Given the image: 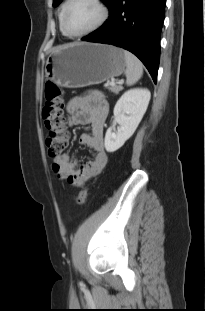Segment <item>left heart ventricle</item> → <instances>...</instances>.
I'll return each instance as SVG.
<instances>
[{
	"instance_id": "b2bd125f",
	"label": "left heart ventricle",
	"mask_w": 205,
	"mask_h": 311,
	"mask_svg": "<svg viewBox=\"0 0 205 311\" xmlns=\"http://www.w3.org/2000/svg\"><path fill=\"white\" fill-rule=\"evenodd\" d=\"M100 17V10L90 0H73L66 15V27L70 33H81L92 27Z\"/></svg>"
}]
</instances>
